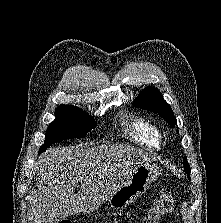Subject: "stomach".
I'll return each mask as SVG.
<instances>
[{"instance_id":"obj_1","label":"stomach","mask_w":221,"mask_h":223,"mask_svg":"<svg viewBox=\"0 0 221 223\" xmlns=\"http://www.w3.org/2000/svg\"><path fill=\"white\" fill-rule=\"evenodd\" d=\"M159 175V167L152 163L137 166L125 183L108 199L113 209L121 210L135 201Z\"/></svg>"}]
</instances>
